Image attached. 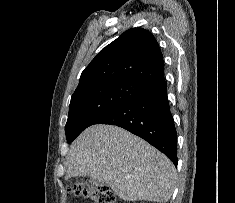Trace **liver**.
Returning <instances> with one entry per match:
<instances>
[{"label":"liver","mask_w":235,"mask_h":203,"mask_svg":"<svg viewBox=\"0 0 235 203\" xmlns=\"http://www.w3.org/2000/svg\"><path fill=\"white\" fill-rule=\"evenodd\" d=\"M66 178L89 176L108 184L125 201L166 203L176 170L172 162L142 138L118 126L85 129L68 153Z\"/></svg>","instance_id":"liver-1"}]
</instances>
